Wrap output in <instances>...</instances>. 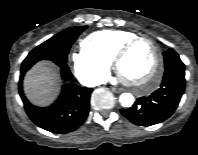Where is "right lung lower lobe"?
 <instances>
[{"label":"right lung lower lobe","instance_id":"1","mask_svg":"<svg viewBox=\"0 0 198 155\" xmlns=\"http://www.w3.org/2000/svg\"><path fill=\"white\" fill-rule=\"evenodd\" d=\"M48 60L53 61L61 68L62 79L65 81L59 98L51 106L41 108L30 104L24 96L23 77L26 71L39 60L22 64L19 81L20 96L28 116L36 125L53 133H68L77 129L87 118L90 94L93 89L82 88L71 82L72 75L66 61Z\"/></svg>","mask_w":198,"mask_h":155}]
</instances>
